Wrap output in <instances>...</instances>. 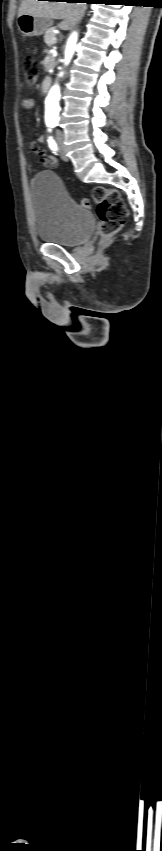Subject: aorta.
<instances>
[{
  "instance_id": "762f6f07",
  "label": "aorta",
  "mask_w": 162,
  "mask_h": 851,
  "mask_svg": "<svg viewBox=\"0 0 162 851\" xmlns=\"http://www.w3.org/2000/svg\"><path fill=\"white\" fill-rule=\"evenodd\" d=\"M77 38H78V35H77L76 32H74V33L71 34V36L69 37V39L67 41V45H66V49H65V59H64L65 65H68L69 62L72 59V56H73L74 51H75V46H76V43H77ZM63 74H64V72L61 71L58 76L62 77ZM60 97H61L60 86H59L58 83H55L51 87V89L48 93V96L46 98L45 119H46L47 122L58 121V115H59V111H60V107H59Z\"/></svg>"
}]
</instances>
